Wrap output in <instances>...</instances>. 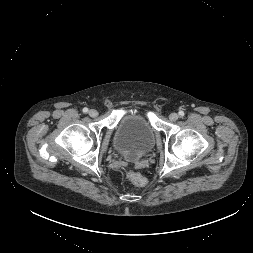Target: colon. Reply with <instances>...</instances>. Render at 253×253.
<instances>
[{
	"instance_id": "5ec220e1",
	"label": "colon",
	"mask_w": 253,
	"mask_h": 253,
	"mask_svg": "<svg viewBox=\"0 0 253 253\" xmlns=\"http://www.w3.org/2000/svg\"><path fill=\"white\" fill-rule=\"evenodd\" d=\"M127 178L132 183H134L135 185H138V186H144L146 184L145 178L142 175H140L139 173H136L133 171L127 172Z\"/></svg>"
}]
</instances>
